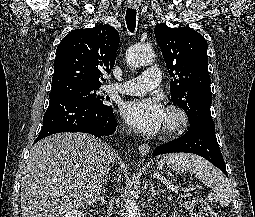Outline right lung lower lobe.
I'll return each mask as SVG.
<instances>
[{"mask_svg": "<svg viewBox=\"0 0 255 217\" xmlns=\"http://www.w3.org/2000/svg\"><path fill=\"white\" fill-rule=\"evenodd\" d=\"M116 125L112 107L102 109L75 99L56 97L49 101L43 117V127L34 143L60 132L107 136L115 132Z\"/></svg>", "mask_w": 255, "mask_h": 217, "instance_id": "right-lung-lower-lobe-1", "label": "right lung lower lobe"}]
</instances>
